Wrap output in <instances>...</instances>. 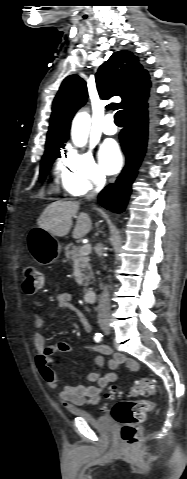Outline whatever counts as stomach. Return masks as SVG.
Returning a JSON list of instances; mask_svg holds the SVG:
<instances>
[{
	"label": "stomach",
	"mask_w": 187,
	"mask_h": 479,
	"mask_svg": "<svg viewBox=\"0 0 187 479\" xmlns=\"http://www.w3.org/2000/svg\"><path fill=\"white\" fill-rule=\"evenodd\" d=\"M27 246L32 258L40 265L55 262L61 253L58 240L42 228H33L27 235Z\"/></svg>",
	"instance_id": "stomach-1"
}]
</instances>
